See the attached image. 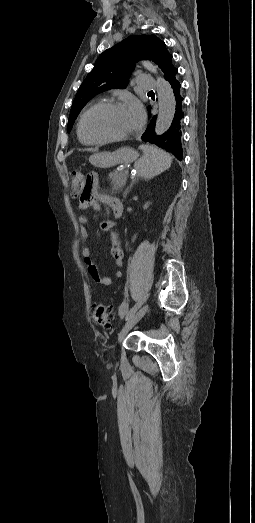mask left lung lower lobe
I'll list each match as a JSON object with an SVG mask.
<instances>
[{
	"label": "left lung lower lobe",
	"instance_id": "1",
	"mask_svg": "<svg viewBox=\"0 0 255 523\" xmlns=\"http://www.w3.org/2000/svg\"><path fill=\"white\" fill-rule=\"evenodd\" d=\"M168 86L172 93V97H176L175 116L174 120H172V126L162 130V133L165 134H161V137H155V134L153 133L157 118L151 116L147 128H144L142 134H140V140H147L144 141V144L150 145V147L155 146L160 148L163 146V149L168 154L172 153L178 162H182L184 161V156H182L184 151L180 140L181 137H185L182 136V131L185 130L180 129V121L184 119V111H182L183 95H181L180 91H182L183 85L177 76H172L170 81H168Z\"/></svg>",
	"mask_w": 255,
	"mask_h": 523
}]
</instances>
